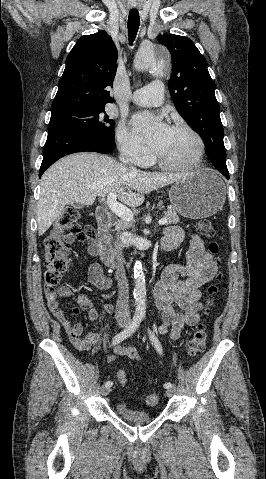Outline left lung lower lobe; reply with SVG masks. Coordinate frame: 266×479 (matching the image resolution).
Here are the masks:
<instances>
[{"mask_svg":"<svg viewBox=\"0 0 266 479\" xmlns=\"http://www.w3.org/2000/svg\"><path fill=\"white\" fill-rule=\"evenodd\" d=\"M227 179H229V173L228 171H224V170H219Z\"/></svg>","mask_w":266,"mask_h":479,"instance_id":"0a47b994","label":"left lung lower lobe"}]
</instances>
